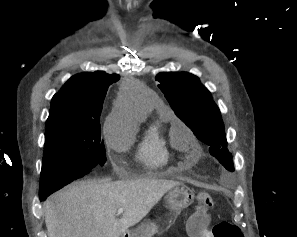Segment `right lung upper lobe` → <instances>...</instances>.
I'll list each match as a JSON object with an SVG mask.
<instances>
[{
  "mask_svg": "<svg viewBox=\"0 0 297 237\" xmlns=\"http://www.w3.org/2000/svg\"><path fill=\"white\" fill-rule=\"evenodd\" d=\"M119 78L104 71L72 76L53 96L46 126L63 121L100 122L107 89Z\"/></svg>",
  "mask_w": 297,
  "mask_h": 237,
  "instance_id": "1",
  "label": "right lung upper lobe"
}]
</instances>
